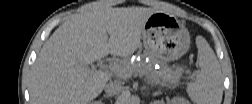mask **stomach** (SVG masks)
<instances>
[{
    "instance_id": "1",
    "label": "stomach",
    "mask_w": 252,
    "mask_h": 104,
    "mask_svg": "<svg viewBox=\"0 0 252 104\" xmlns=\"http://www.w3.org/2000/svg\"><path fill=\"white\" fill-rule=\"evenodd\" d=\"M142 40L151 57L167 63L179 59L187 52L190 34L175 16L157 11L146 21Z\"/></svg>"
}]
</instances>
